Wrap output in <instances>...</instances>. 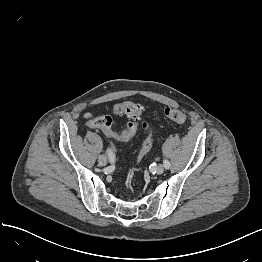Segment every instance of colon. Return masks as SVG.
Returning <instances> with one entry per match:
<instances>
[{"label":"colon","instance_id":"obj_1","mask_svg":"<svg viewBox=\"0 0 262 262\" xmlns=\"http://www.w3.org/2000/svg\"><path fill=\"white\" fill-rule=\"evenodd\" d=\"M143 107L134 102H120L116 103L112 107V112L114 114H125L127 115V121L124 128L118 131L112 129V119L109 116H100L97 118H90L89 115L86 116L89 119V126L92 128L102 129L109 137L118 143L127 142L133 138L139 127V120L143 114ZM165 115L169 119L175 121L178 124H184L186 121V115L179 109L167 107L165 109ZM153 146V130L148 127V135L143 141L141 150L139 152L137 162H139L152 148Z\"/></svg>","mask_w":262,"mask_h":262}]
</instances>
